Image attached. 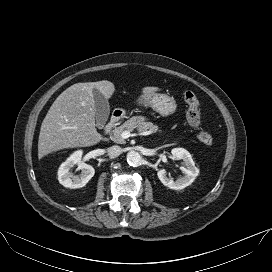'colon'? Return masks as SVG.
<instances>
[{"label": "colon", "instance_id": "1", "mask_svg": "<svg viewBox=\"0 0 272 272\" xmlns=\"http://www.w3.org/2000/svg\"><path fill=\"white\" fill-rule=\"evenodd\" d=\"M183 99L187 107V123L197 132V138L202 144L211 145L213 143V136L201 128L200 103L196 94L192 91H185Z\"/></svg>", "mask_w": 272, "mask_h": 272}]
</instances>
